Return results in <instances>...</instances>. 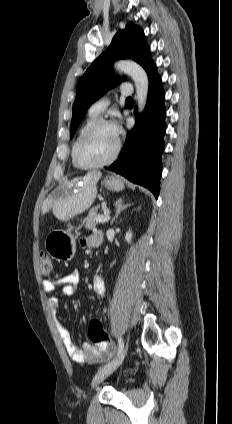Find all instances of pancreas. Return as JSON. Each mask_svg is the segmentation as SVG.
I'll return each mask as SVG.
<instances>
[{
	"instance_id": "1",
	"label": "pancreas",
	"mask_w": 232,
	"mask_h": 424,
	"mask_svg": "<svg viewBox=\"0 0 232 424\" xmlns=\"http://www.w3.org/2000/svg\"><path fill=\"white\" fill-rule=\"evenodd\" d=\"M98 209H99V207H94L89 212V214L86 218V224H85V227L87 229H94L96 227V225L99 223V222L96 221V218L98 216H100L98 214ZM103 209L106 210L109 213V209L106 206H103Z\"/></svg>"
}]
</instances>
